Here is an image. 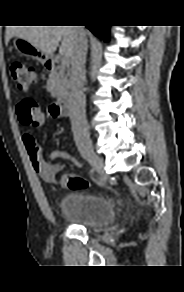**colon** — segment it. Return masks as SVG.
Masks as SVG:
<instances>
[{
	"label": "colon",
	"instance_id": "5ec220e1",
	"mask_svg": "<svg viewBox=\"0 0 184 292\" xmlns=\"http://www.w3.org/2000/svg\"><path fill=\"white\" fill-rule=\"evenodd\" d=\"M11 75L16 82L19 91L27 92L36 81L35 69L21 61H15L10 67ZM18 119L29 129L38 128L42 125L44 116L36 102L32 99H23L17 105ZM66 186L71 190L85 189L89 186L87 180L77 175H67Z\"/></svg>",
	"mask_w": 184,
	"mask_h": 292
}]
</instances>
